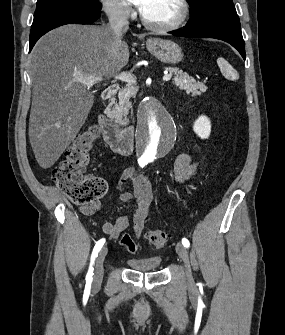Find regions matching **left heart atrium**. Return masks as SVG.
<instances>
[{
	"label": "left heart atrium",
	"mask_w": 285,
	"mask_h": 335,
	"mask_svg": "<svg viewBox=\"0 0 285 335\" xmlns=\"http://www.w3.org/2000/svg\"><path fill=\"white\" fill-rule=\"evenodd\" d=\"M137 5L139 12L143 16L145 14V11L147 9L148 1H134Z\"/></svg>",
	"instance_id": "obj_1"
}]
</instances>
